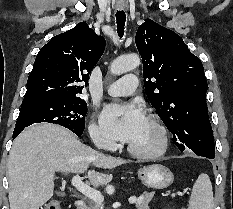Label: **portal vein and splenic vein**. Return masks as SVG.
Here are the masks:
<instances>
[{"label": "portal vein and splenic vein", "instance_id": "1", "mask_svg": "<svg viewBox=\"0 0 233 209\" xmlns=\"http://www.w3.org/2000/svg\"><path fill=\"white\" fill-rule=\"evenodd\" d=\"M71 184L83 195L93 200L96 203L102 204L104 201V197L100 191L91 188L89 185L85 184L79 176H74L71 180ZM140 198H136L134 196L129 198V203L134 204Z\"/></svg>", "mask_w": 233, "mask_h": 209}]
</instances>
